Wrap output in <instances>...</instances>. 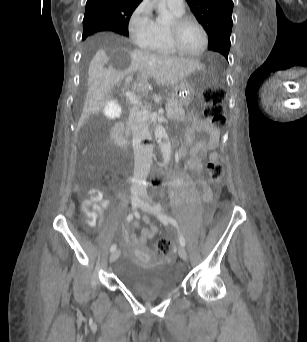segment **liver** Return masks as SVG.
<instances>
[{"mask_svg":"<svg viewBox=\"0 0 307 342\" xmlns=\"http://www.w3.org/2000/svg\"><path fill=\"white\" fill-rule=\"evenodd\" d=\"M199 68L201 64L198 60L150 54L135 50L134 44H99L97 54L89 64L88 92L77 124L78 130L90 114H99L103 110L108 92L113 86H120L127 74H140L133 86L137 92H146L150 78L159 86H175Z\"/></svg>","mask_w":307,"mask_h":342,"instance_id":"liver-1","label":"liver"}]
</instances>
